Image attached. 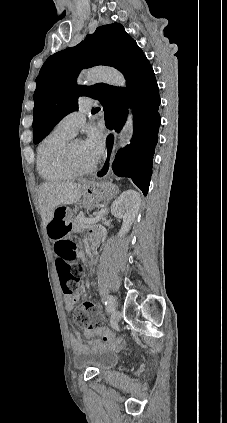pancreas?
Returning <instances> with one entry per match:
<instances>
[{
	"label": "pancreas",
	"instance_id": "1",
	"mask_svg": "<svg viewBox=\"0 0 227 423\" xmlns=\"http://www.w3.org/2000/svg\"><path fill=\"white\" fill-rule=\"evenodd\" d=\"M82 217H85L83 213H79V215H76L73 219V225H72V231H86V229H92L93 225H90V223H83Z\"/></svg>",
	"mask_w": 227,
	"mask_h": 423
}]
</instances>
